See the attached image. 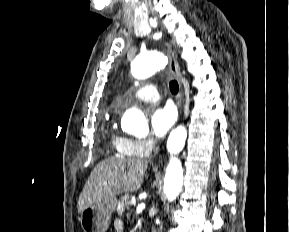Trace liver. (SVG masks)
<instances>
[{
	"label": "liver",
	"instance_id": "6515ba94",
	"mask_svg": "<svg viewBox=\"0 0 289 232\" xmlns=\"http://www.w3.org/2000/svg\"><path fill=\"white\" fill-rule=\"evenodd\" d=\"M147 162L135 158H109L97 164L85 183L78 212L116 195L138 190L147 175Z\"/></svg>",
	"mask_w": 289,
	"mask_h": 232
}]
</instances>
